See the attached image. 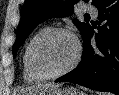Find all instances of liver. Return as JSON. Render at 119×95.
<instances>
[{
    "mask_svg": "<svg viewBox=\"0 0 119 95\" xmlns=\"http://www.w3.org/2000/svg\"><path fill=\"white\" fill-rule=\"evenodd\" d=\"M54 87H57V86L53 84H43V85L38 86V88H54ZM28 90L30 91V89H26V91L24 92H27Z\"/></svg>",
    "mask_w": 119,
    "mask_h": 95,
    "instance_id": "obj_1",
    "label": "liver"
}]
</instances>
